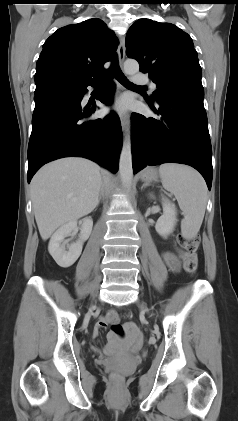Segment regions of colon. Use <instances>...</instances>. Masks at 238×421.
Returning <instances> with one entry per match:
<instances>
[{
	"instance_id": "5ec220e1",
	"label": "colon",
	"mask_w": 238,
	"mask_h": 421,
	"mask_svg": "<svg viewBox=\"0 0 238 421\" xmlns=\"http://www.w3.org/2000/svg\"><path fill=\"white\" fill-rule=\"evenodd\" d=\"M179 241L184 249L181 253L183 267L187 272L194 273L198 266L196 251L200 246V238L197 235H180ZM110 325L115 337L119 339L125 337L126 331L120 324L117 313L110 316ZM111 382L114 386L119 387L123 382V377L119 373L114 372L111 374Z\"/></svg>"
}]
</instances>
